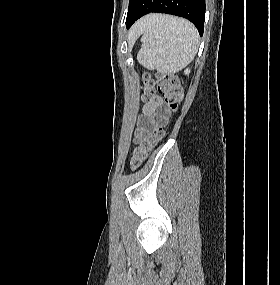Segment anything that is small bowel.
Instances as JSON below:
<instances>
[{"label": "small bowel", "instance_id": "small-bowel-1", "mask_svg": "<svg viewBox=\"0 0 280 285\" xmlns=\"http://www.w3.org/2000/svg\"><path fill=\"white\" fill-rule=\"evenodd\" d=\"M169 110L165 107L160 96L152 97L143 107V115L140 120L136 139H140L157 120H165Z\"/></svg>", "mask_w": 280, "mask_h": 285}]
</instances>
